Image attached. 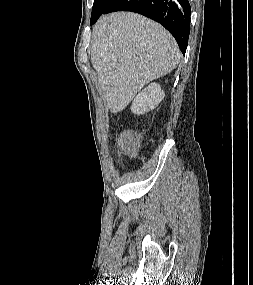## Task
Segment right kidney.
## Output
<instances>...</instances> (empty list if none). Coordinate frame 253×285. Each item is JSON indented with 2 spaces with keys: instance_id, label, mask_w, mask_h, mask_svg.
Returning <instances> with one entry per match:
<instances>
[{
  "instance_id": "1",
  "label": "right kidney",
  "mask_w": 253,
  "mask_h": 285,
  "mask_svg": "<svg viewBox=\"0 0 253 285\" xmlns=\"http://www.w3.org/2000/svg\"><path fill=\"white\" fill-rule=\"evenodd\" d=\"M165 93L157 83H151L135 98L131 106L134 114H145L155 109L163 100Z\"/></svg>"
}]
</instances>
